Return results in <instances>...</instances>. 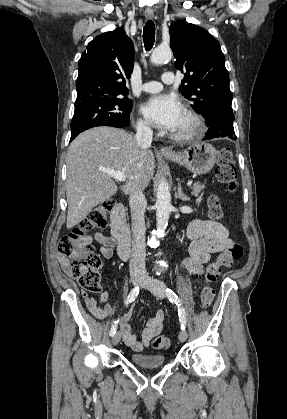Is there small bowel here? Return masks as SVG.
<instances>
[{
  "mask_svg": "<svg viewBox=\"0 0 287 419\" xmlns=\"http://www.w3.org/2000/svg\"><path fill=\"white\" fill-rule=\"evenodd\" d=\"M89 240H95L100 244V253L105 258H111L114 254L117 242L113 237L96 233L88 236ZM190 244L187 248L188 256L182 262L185 272L202 275L205 265L210 259L211 254L219 253L232 244L229 238L228 229L221 223L212 221H193L188 229ZM63 271L70 273L69 261L64 257L59 259ZM86 306L90 313L97 319H106L113 315L114 308L108 304L110 293L104 290L100 293L99 299L83 294ZM131 313L124 314L120 318V330L123 339L128 347L135 352L142 351L147 347L151 340L159 335L163 329L164 314L157 311L155 315L147 321L146 328L142 333L141 339H137L132 333L129 319Z\"/></svg>",
  "mask_w": 287,
  "mask_h": 419,
  "instance_id": "c3829d8e",
  "label": "small bowel"
}]
</instances>
